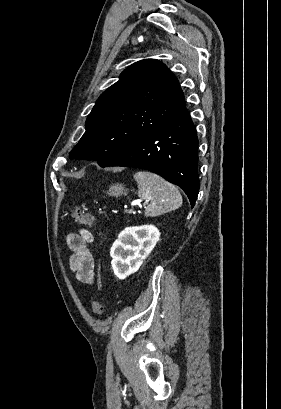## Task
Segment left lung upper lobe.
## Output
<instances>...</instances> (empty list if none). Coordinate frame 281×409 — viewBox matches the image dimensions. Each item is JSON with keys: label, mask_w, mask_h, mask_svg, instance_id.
Here are the masks:
<instances>
[{"label": "left lung upper lobe", "mask_w": 281, "mask_h": 409, "mask_svg": "<svg viewBox=\"0 0 281 409\" xmlns=\"http://www.w3.org/2000/svg\"><path fill=\"white\" fill-rule=\"evenodd\" d=\"M184 104L177 78L163 63L138 61L99 97L70 157L98 160L104 167Z\"/></svg>", "instance_id": "5c2ea615"}]
</instances>
